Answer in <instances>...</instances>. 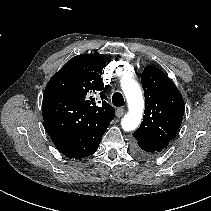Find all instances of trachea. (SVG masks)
<instances>
[{"label": "trachea", "mask_w": 211, "mask_h": 211, "mask_svg": "<svg viewBox=\"0 0 211 211\" xmlns=\"http://www.w3.org/2000/svg\"><path fill=\"white\" fill-rule=\"evenodd\" d=\"M112 103L116 107L124 106L125 105V101H124V98H123L122 94L119 93V92L114 93L113 96H112Z\"/></svg>", "instance_id": "obj_1"}]
</instances>
